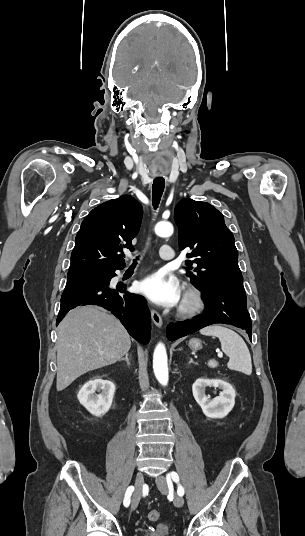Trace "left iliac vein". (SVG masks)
I'll return each mask as SVG.
<instances>
[{
  "label": "left iliac vein",
  "instance_id": "obj_1",
  "mask_svg": "<svg viewBox=\"0 0 305 536\" xmlns=\"http://www.w3.org/2000/svg\"><path fill=\"white\" fill-rule=\"evenodd\" d=\"M157 487L161 493L167 492V480L165 476H159L157 479ZM174 505L182 507L184 505V499L182 496L176 495L174 498Z\"/></svg>",
  "mask_w": 305,
  "mask_h": 536
}]
</instances>
